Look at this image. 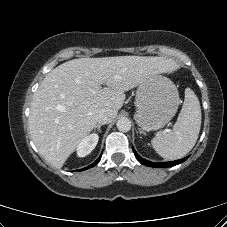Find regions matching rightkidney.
<instances>
[{
    "instance_id": "ca27d5eb",
    "label": "right kidney",
    "mask_w": 227,
    "mask_h": 227,
    "mask_svg": "<svg viewBox=\"0 0 227 227\" xmlns=\"http://www.w3.org/2000/svg\"><path fill=\"white\" fill-rule=\"evenodd\" d=\"M98 140L99 136L94 133L82 139L77 147V155L79 157H85L90 154L96 147Z\"/></svg>"
}]
</instances>
